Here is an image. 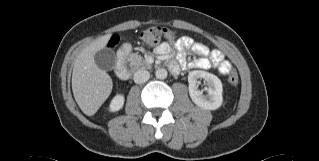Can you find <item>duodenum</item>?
<instances>
[{
    "mask_svg": "<svg viewBox=\"0 0 319 161\" xmlns=\"http://www.w3.org/2000/svg\"><path fill=\"white\" fill-rule=\"evenodd\" d=\"M130 51V47L127 45L121 46L116 53V74L119 79L127 80L130 77V70L127 65V55Z\"/></svg>",
    "mask_w": 319,
    "mask_h": 161,
    "instance_id": "410a0bca",
    "label": "duodenum"
}]
</instances>
